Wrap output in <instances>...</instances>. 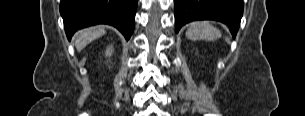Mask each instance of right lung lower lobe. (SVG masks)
<instances>
[{
  "label": "right lung lower lobe",
  "instance_id": "1",
  "mask_svg": "<svg viewBox=\"0 0 305 116\" xmlns=\"http://www.w3.org/2000/svg\"><path fill=\"white\" fill-rule=\"evenodd\" d=\"M138 0H61L59 9L70 40L79 29L109 24L128 40L134 30Z\"/></svg>",
  "mask_w": 305,
  "mask_h": 116
}]
</instances>
